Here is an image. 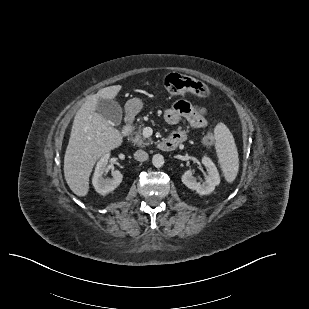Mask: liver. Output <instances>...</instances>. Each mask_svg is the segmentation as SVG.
Here are the masks:
<instances>
[{
  "label": "liver",
  "instance_id": "6515ba94",
  "mask_svg": "<svg viewBox=\"0 0 309 309\" xmlns=\"http://www.w3.org/2000/svg\"><path fill=\"white\" fill-rule=\"evenodd\" d=\"M121 89V85L100 89L88 97L75 115L64 157V176L79 197L88 194L89 177L96 161L122 144L121 133L96 112L100 98L113 99Z\"/></svg>",
  "mask_w": 309,
  "mask_h": 309
}]
</instances>
